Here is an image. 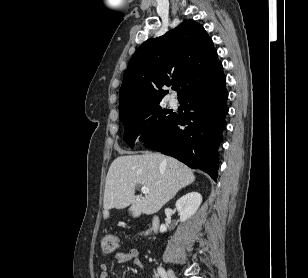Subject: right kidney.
<instances>
[{"label":"right kidney","mask_w":308,"mask_h":278,"mask_svg":"<svg viewBox=\"0 0 308 278\" xmlns=\"http://www.w3.org/2000/svg\"><path fill=\"white\" fill-rule=\"evenodd\" d=\"M201 203L202 196L198 192H191L181 197L176 202V209L179 212L180 221L185 222L187 219L192 217L198 210ZM166 230V225L162 224L160 226V232L163 233Z\"/></svg>","instance_id":"right-kidney-1"}]
</instances>
